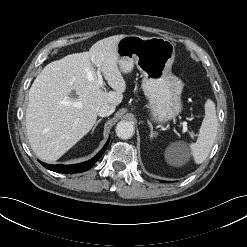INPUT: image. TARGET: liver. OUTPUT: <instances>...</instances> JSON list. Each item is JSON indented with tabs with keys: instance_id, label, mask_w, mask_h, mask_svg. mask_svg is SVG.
<instances>
[{
	"instance_id": "liver-1",
	"label": "liver",
	"mask_w": 247,
	"mask_h": 247,
	"mask_svg": "<svg viewBox=\"0 0 247 247\" xmlns=\"http://www.w3.org/2000/svg\"><path fill=\"white\" fill-rule=\"evenodd\" d=\"M124 36L101 39L88 52L53 61L36 77L29 90L26 132L41 160H58L92 129L102 105L121 103L126 82L118 67L117 44ZM93 65L114 91L99 87Z\"/></svg>"
}]
</instances>
